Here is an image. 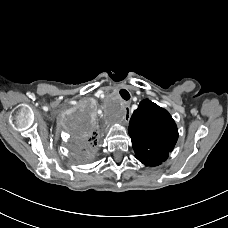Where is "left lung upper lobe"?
Returning a JSON list of instances; mask_svg holds the SVG:
<instances>
[{"instance_id": "obj_1", "label": "left lung upper lobe", "mask_w": 228, "mask_h": 228, "mask_svg": "<svg viewBox=\"0 0 228 228\" xmlns=\"http://www.w3.org/2000/svg\"><path fill=\"white\" fill-rule=\"evenodd\" d=\"M128 132L136 158L146 166L164 162L178 139L171 115L149 99L141 101L133 112Z\"/></svg>"}]
</instances>
